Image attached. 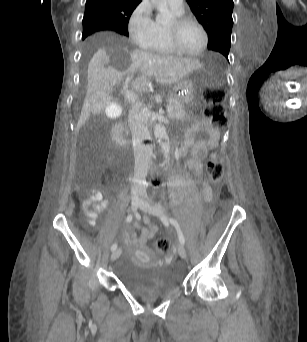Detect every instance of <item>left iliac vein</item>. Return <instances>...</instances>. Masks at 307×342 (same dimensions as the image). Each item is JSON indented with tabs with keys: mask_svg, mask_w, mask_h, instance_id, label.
I'll use <instances>...</instances> for the list:
<instances>
[{
	"mask_svg": "<svg viewBox=\"0 0 307 342\" xmlns=\"http://www.w3.org/2000/svg\"><path fill=\"white\" fill-rule=\"evenodd\" d=\"M140 208L143 211L148 212V213L153 214V215H156V216H163V214H164L162 207L157 205V204H153L151 200L142 201V203L140 204ZM177 249H178L179 256L182 259H186L187 253H186V249L183 246V244L179 243Z\"/></svg>",
	"mask_w": 307,
	"mask_h": 342,
	"instance_id": "1",
	"label": "left iliac vein"
}]
</instances>
